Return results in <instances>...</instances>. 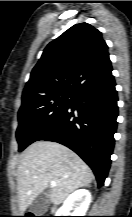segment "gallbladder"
<instances>
[{
  "label": "gallbladder",
  "mask_w": 132,
  "mask_h": 217,
  "mask_svg": "<svg viewBox=\"0 0 132 217\" xmlns=\"http://www.w3.org/2000/svg\"><path fill=\"white\" fill-rule=\"evenodd\" d=\"M50 202V191L45 190L33 200L29 206V211L35 216H42L47 211Z\"/></svg>",
  "instance_id": "bac80fb5"
}]
</instances>
